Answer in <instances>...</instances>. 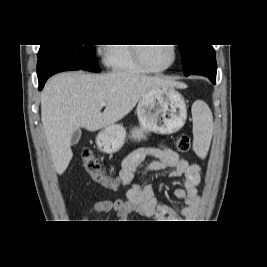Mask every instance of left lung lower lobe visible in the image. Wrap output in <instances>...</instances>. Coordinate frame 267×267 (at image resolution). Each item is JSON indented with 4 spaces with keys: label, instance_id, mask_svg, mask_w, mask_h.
Masks as SVG:
<instances>
[{
    "label": "left lung lower lobe",
    "instance_id": "0a47b994",
    "mask_svg": "<svg viewBox=\"0 0 267 267\" xmlns=\"http://www.w3.org/2000/svg\"><path fill=\"white\" fill-rule=\"evenodd\" d=\"M216 60L211 59L198 65L189 75H203L208 77L213 84L216 83ZM188 76V75H187Z\"/></svg>",
    "mask_w": 267,
    "mask_h": 267
}]
</instances>
